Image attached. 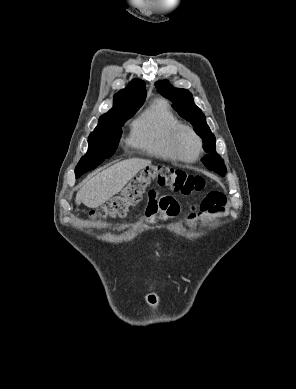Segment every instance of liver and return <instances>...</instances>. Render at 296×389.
I'll use <instances>...</instances> for the list:
<instances>
[{"label":"liver","mask_w":296,"mask_h":389,"mask_svg":"<svg viewBox=\"0 0 296 389\" xmlns=\"http://www.w3.org/2000/svg\"><path fill=\"white\" fill-rule=\"evenodd\" d=\"M150 164V160L132 158L108 167L85 182L77 192L76 204L83 203L89 208L101 206L119 193L141 169Z\"/></svg>","instance_id":"obj_1"}]
</instances>
